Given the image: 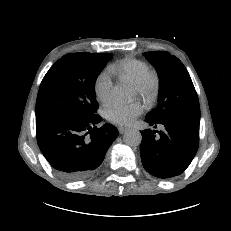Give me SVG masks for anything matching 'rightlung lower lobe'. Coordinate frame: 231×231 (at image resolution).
Segmentation results:
<instances>
[{"instance_id": "98d812e1", "label": "right lung lower lobe", "mask_w": 231, "mask_h": 231, "mask_svg": "<svg viewBox=\"0 0 231 231\" xmlns=\"http://www.w3.org/2000/svg\"><path fill=\"white\" fill-rule=\"evenodd\" d=\"M99 115L89 119L37 114L39 148L50 165L65 179L81 180L93 175L118 136L111 124L97 128Z\"/></svg>"}]
</instances>
